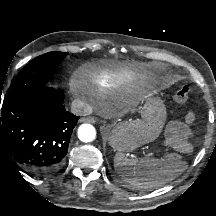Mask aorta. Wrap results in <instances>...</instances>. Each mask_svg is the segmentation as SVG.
Listing matches in <instances>:
<instances>
[{
  "mask_svg": "<svg viewBox=\"0 0 216 216\" xmlns=\"http://www.w3.org/2000/svg\"><path fill=\"white\" fill-rule=\"evenodd\" d=\"M78 138L85 143L96 138V130L91 124H82L78 129Z\"/></svg>",
  "mask_w": 216,
  "mask_h": 216,
  "instance_id": "1",
  "label": "aorta"
}]
</instances>
